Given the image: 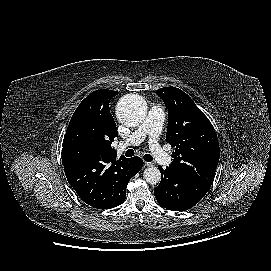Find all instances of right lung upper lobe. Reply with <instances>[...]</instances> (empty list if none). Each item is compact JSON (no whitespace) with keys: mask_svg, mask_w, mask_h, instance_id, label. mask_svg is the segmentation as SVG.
Returning <instances> with one entry per match:
<instances>
[{"mask_svg":"<svg viewBox=\"0 0 271 271\" xmlns=\"http://www.w3.org/2000/svg\"><path fill=\"white\" fill-rule=\"evenodd\" d=\"M116 94L118 92L107 89L90 93L79 104L68 125L70 127L80 120L93 124L98 131L94 153L100 155L116 156V150L111 147V144L118 136V132L109 109V102Z\"/></svg>","mask_w":271,"mask_h":271,"instance_id":"1","label":"right lung upper lobe"}]
</instances>
